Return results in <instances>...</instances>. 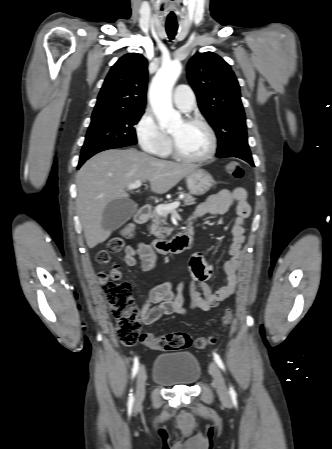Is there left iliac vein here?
<instances>
[{
    "label": "left iliac vein",
    "instance_id": "1",
    "mask_svg": "<svg viewBox=\"0 0 332 449\" xmlns=\"http://www.w3.org/2000/svg\"><path fill=\"white\" fill-rule=\"evenodd\" d=\"M209 372L213 377V386L216 388L219 396L223 399H228L229 391L225 384L223 374H222L221 370L219 369V367L214 362L210 363Z\"/></svg>",
    "mask_w": 332,
    "mask_h": 449
}]
</instances>
